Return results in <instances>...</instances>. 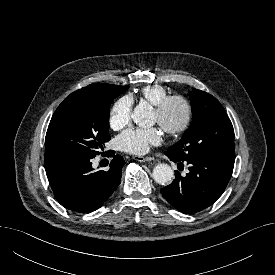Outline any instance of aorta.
I'll use <instances>...</instances> for the list:
<instances>
[{"label": "aorta", "mask_w": 275, "mask_h": 275, "mask_svg": "<svg viewBox=\"0 0 275 275\" xmlns=\"http://www.w3.org/2000/svg\"><path fill=\"white\" fill-rule=\"evenodd\" d=\"M134 123L140 127H150L153 125L152 119V107L148 103L138 104L131 115ZM174 177V171L172 168L164 163L158 164L153 169V179L161 185H165L170 182Z\"/></svg>", "instance_id": "aorta-1"}]
</instances>
